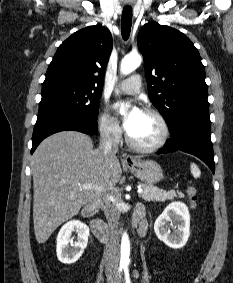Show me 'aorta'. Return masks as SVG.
Returning <instances> with one entry per match:
<instances>
[{
    "label": "aorta",
    "mask_w": 233,
    "mask_h": 283,
    "mask_svg": "<svg viewBox=\"0 0 233 283\" xmlns=\"http://www.w3.org/2000/svg\"><path fill=\"white\" fill-rule=\"evenodd\" d=\"M142 58L137 53H130L126 55L122 61L120 66V72L123 75H128L137 69L141 64ZM126 113V108H120V114L124 115ZM130 242L129 237L126 232L123 233L121 239V254H120V263L122 265H128L130 262Z\"/></svg>",
    "instance_id": "obj_1"
}]
</instances>
